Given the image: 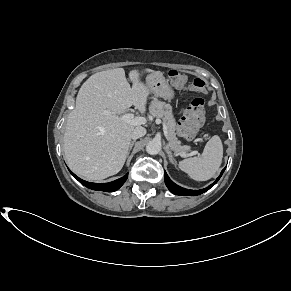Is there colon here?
Segmentation results:
<instances>
[{"instance_id": "colon-1", "label": "colon", "mask_w": 291, "mask_h": 291, "mask_svg": "<svg viewBox=\"0 0 291 291\" xmlns=\"http://www.w3.org/2000/svg\"><path fill=\"white\" fill-rule=\"evenodd\" d=\"M169 77L175 84H182L188 81V77L178 70H171ZM198 83L199 80H193V86H198ZM204 105V100L198 97L193 100L190 108L186 111L181 122V131L186 137H191L195 130L203 123Z\"/></svg>"}]
</instances>
